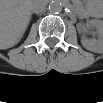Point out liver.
Segmentation results:
<instances>
[{
  "label": "liver",
  "mask_w": 103,
  "mask_h": 103,
  "mask_svg": "<svg viewBox=\"0 0 103 103\" xmlns=\"http://www.w3.org/2000/svg\"><path fill=\"white\" fill-rule=\"evenodd\" d=\"M31 2L25 0H5L1 2L0 47L8 49L22 38L31 16Z\"/></svg>",
  "instance_id": "liver-1"
}]
</instances>
